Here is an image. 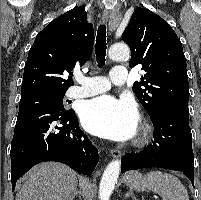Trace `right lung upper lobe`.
Returning a JSON list of instances; mask_svg holds the SVG:
<instances>
[{
    "label": "right lung upper lobe",
    "instance_id": "cb5924a9",
    "mask_svg": "<svg viewBox=\"0 0 201 200\" xmlns=\"http://www.w3.org/2000/svg\"><path fill=\"white\" fill-rule=\"evenodd\" d=\"M94 44L87 12L76 7L50 22L35 38L23 74L22 95L65 93L73 85L67 72L89 59ZM21 95V96H22Z\"/></svg>",
    "mask_w": 201,
    "mask_h": 200
}]
</instances>
